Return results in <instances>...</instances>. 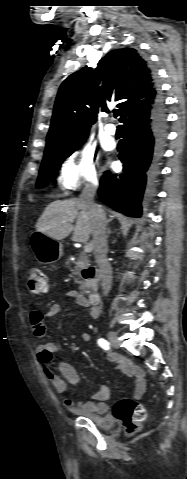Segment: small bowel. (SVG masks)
<instances>
[{"instance_id": "1", "label": "small bowel", "mask_w": 187, "mask_h": 479, "mask_svg": "<svg viewBox=\"0 0 187 479\" xmlns=\"http://www.w3.org/2000/svg\"><path fill=\"white\" fill-rule=\"evenodd\" d=\"M66 297L73 300L77 305L85 308H90V314L93 319L98 317V310L90 307L88 299L78 291H68ZM62 311V305L55 303L51 305L46 311L33 310L30 313V324L32 333L36 338H41L45 330V321L49 318L57 316ZM90 339V333L82 334V340ZM59 351V345L56 343H49L40 345L38 347L37 358L43 368V373L46 379L51 383L56 392L63 394V404L70 411H84L94 414H104L108 410L106 403L110 396V390L107 386H101L88 400L76 399L66 394L67 385L71 384L77 386L80 377L76 369L67 362H60L58 364L59 374L52 370L54 356ZM111 360L118 362L117 369L119 372L131 376L135 380V397L143 398L146 392L145 376L141 368L132 365L124 358H116L108 355Z\"/></svg>"}]
</instances>
